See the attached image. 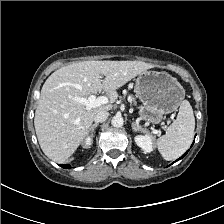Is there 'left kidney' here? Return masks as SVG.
<instances>
[{"label": "left kidney", "mask_w": 224, "mask_h": 224, "mask_svg": "<svg viewBox=\"0 0 224 224\" xmlns=\"http://www.w3.org/2000/svg\"><path fill=\"white\" fill-rule=\"evenodd\" d=\"M134 140L144 152L150 153L153 151V139L151 135H137Z\"/></svg>", "instance_id": "5707ae66"}]
</instances>
